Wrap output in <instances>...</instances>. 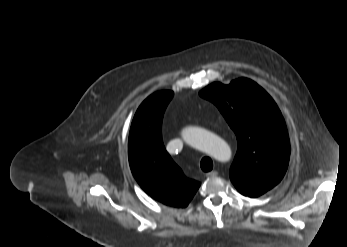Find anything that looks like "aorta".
I'll return each mask as SVG.
<instances>
[{"label":"aorta","instance_id":"aorta-1","mask_svg":"<svg viewBox=\"0 0 347 247\" xmlns=\"http://www.w3.org/2000/svg\"><path fill=\"white\" fill-rule=\"evenodd\" d=\"M183 140L192 147L201 150L219 161L231 157V148L217 135L200 127H186L182 130Z\"/></svg>","mask_w":347,"mask_h":247}]
</instances>
